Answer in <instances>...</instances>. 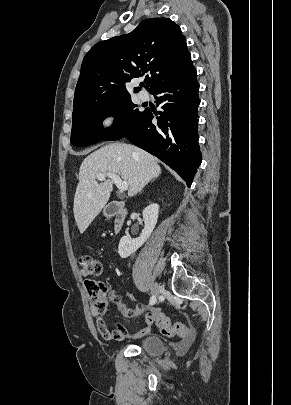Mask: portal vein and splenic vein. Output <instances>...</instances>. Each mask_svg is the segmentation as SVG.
I'll use <instances>...</instances> for the list:
<instances>
[{
    "mask_svg": "<svg viewBox=\"0 0 291 405\" xmlns=\"http://www.w3.org/2000/svg\"><path fill=\"white\" fill-rule=\"evenodd\" d=\"M96 177L100 181L105 180L106 177L111 178L121 192L126 191L129 186L127 181H122L121 178L114 173H99Z\"/></svg>",
    "mask_w": 291,
    "mask_h": 405,
    "instance_id": "18ae733b",
    "label": "portal vein and splenic vein"
}]
</instances>
